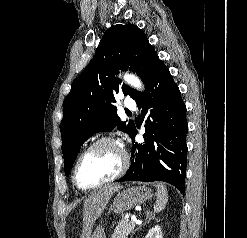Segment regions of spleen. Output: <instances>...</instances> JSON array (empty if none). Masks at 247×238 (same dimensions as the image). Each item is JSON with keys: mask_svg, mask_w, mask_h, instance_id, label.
<instances>
[{"mask_svg": "<svg viewBox=\"0 0 247 238\" xmlns=\"http://www.w3.org/2000/svg\"><path fill=\"white\" fill-rule=\"evenodd\" d=\"M156 188H157L156 191L157 200L154 205V212L158 213L165 208V205L168 201V191L163 183H157Z\"/></svg>", "mask_w": 247, "mask_h": 238, "instance_id": "3e777b00", "label": "spleen"}]
</instances>
